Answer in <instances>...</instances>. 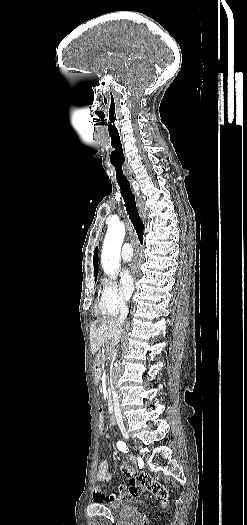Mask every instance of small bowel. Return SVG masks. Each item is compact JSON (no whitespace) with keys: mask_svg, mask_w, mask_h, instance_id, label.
Here are the masks:
<instances>
[{"mask_svg":"<svg viewBox=\"0 0 247 525\" xmlns=\"http://www.w3.org/2000/svg\"><path fill=\"white\" fill-rule=\"evenodd\" d=\"M101 429L104 430V428ZM127 473L128 470L126 468L121 469V474L126 475ZM112 477V473L109 470L108 460H101L98 466V472L96 474V481L98 483V486L94 492V500L99 506H117L119 504V499H124L126 497V495H123L121 493L108 495L104 491H102L99 484L111 481ZM130 480L131 482L128 487V490L132 497H137L139 495V488L142 486L143 481L146 482V488H148L151 492H154L156 496L155 500L157 502L158 507L163 508L165 507L166 503L169 502V491L167 489H164L162 491V487L158 485V483L150 480V475L148 473H132L130 475ZM124 485H126V482H123V485L119 487V490L121 492H124L126 490V487Z\"/></svg>","mask_w":247,"mask_h":525,"instance_id":"obj_1","label":"small bowel"}]
</instances>
